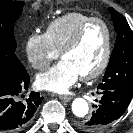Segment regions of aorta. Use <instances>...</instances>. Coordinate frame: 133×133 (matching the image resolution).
I'll list each match as a JSON object with an SVG mask.
<instances>
[{"mask_svg": "<svg viewBox=\"0 0 133 133\" xmlns=\"http://www.w3.org/2000/svg\"><path fill=\"white\" fill-rule=\"evenodd\" d=\"M89 111L88 103L83 98H76L72 103V112L79 118H84Z\"/></svg>", "mask_w": 133, "mask_h": 133, "instance_id": "1", "label": "aorta"}]
</instances>
